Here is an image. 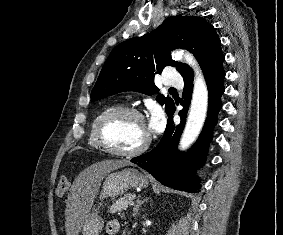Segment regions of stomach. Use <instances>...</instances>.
I'll return each mask as SVG.
<instances>
[{
    "instance_id": "stomach-1",
    "label": "stomach",
    "mask_w": 283,
    "mask_h": 235,
    "mask_svg": "<svg viewBox=\"0 0 283 235\" xmlns=\"http://www.w3.org/2000/svg\"><path fill=\"white\" fill-rule=\"evenodd\" d=\"M149 184L148 178L134 168L109 173L103 182L100 200L124 194L129 189L144 188ZM103 228V221L99 214V207H94L83 223V235H99Z\"/></svg>"
}]
</instances>
